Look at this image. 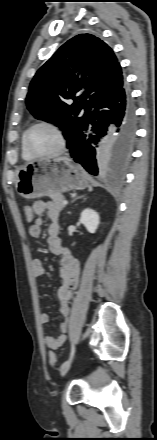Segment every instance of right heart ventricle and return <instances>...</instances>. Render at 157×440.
<instances>
[{"label":"right heart ventricle","mask_w":157,"mask_h":440,"mask_svg":"<svg viewBox=\"0 0 157 440\" xmlns=\"http://www.w3.org/2000/svg\"><path fill=\"white\" fill-rule=\"evenodd\" d=\"M24 136H25V132L21 138V154L24 159L31 160L33 158V156L27 151V149L25 147Z\"/></svg>","instance_id":"right-heart-ventricle-1"}]
</instances>
